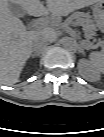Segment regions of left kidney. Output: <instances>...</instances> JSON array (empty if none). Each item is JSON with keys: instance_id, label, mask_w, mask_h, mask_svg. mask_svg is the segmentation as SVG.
<instances>
[{"instance_id": "obj_1", "label": "left kidney", "mask_w": 104, "mask_h": 137, "mask_svg": "<svg viewBox=\"0 0 104 137\" xmlns=\"http://www.w3.org/2000/svg\"><path fill=\"white\" fill-rule=\"evenodd\" d=\"M79 67L81 72L86 76L90 78H96L98 77L100 72H103V65L101 66H94L89 61L85 59H81L79 61Z\"/></svg>"}]
</instances>
